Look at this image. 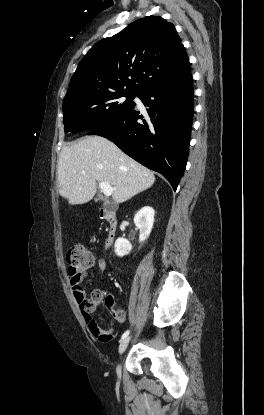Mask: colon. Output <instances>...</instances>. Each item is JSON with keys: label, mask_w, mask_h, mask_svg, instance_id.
Instances as JSON below:
<instances>
[{"label": "colon", "mask_w": 264, "mask_h": 415, "mask_svg": "<svg viewBox=\"0 0 264 415\" xmlns=\"http://www.w3.org/2000/svg\"><path fill=\"white\" fill-rule=\"evenodd\" d=\"M93 263L92 253L85 247L73 245L67 252V267L69 273H75L79 268H88ZM105 303L112 319L122 322L125 319V313L122 308L117 306L110 296H105L101 291L94 289L90 292L89 297L81 302V309L89 321V311L99 303Z\"/></svg>", "instance_id": "1"}]
</instances>
